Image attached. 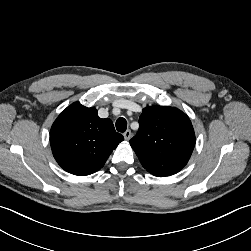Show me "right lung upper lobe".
Returning a JSON list of instances; mask_svg holds the SVG:
<instances>
[{
  "label": "right lung upper lobe",
  "instance_id": "cb5924a9",
  "mask_svg": "<svg viewBox=\"0 0 251 251\" xmlns=\"http://www.w3.org/2000/svg\"><path fill=\"white\" fill-rule=\"evenodd\" d=\"M123 140L110 119L100 118L95 108L78 102L58 116L50 131L51 149L57 163L79 176L100 170Z\"/></svg>",
  "mask_w": 251,
  "mask_h": 251
}]
</instances>
